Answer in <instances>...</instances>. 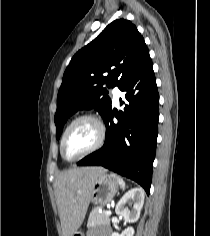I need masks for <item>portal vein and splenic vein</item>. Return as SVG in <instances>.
Segmentation results:
<instances>
[{
  "instance_id": "obj_1",
  "label": "portal vein and splenic vein",
  "mask_w": 210,
  "mask_h": 236,
  "mask_svg": "<svg viewBox=\"0 0 210 236\" xmlns=\"http://www.w3.org/2000/svg\"><path fill=\"white\" fill-rule=\"evenodd\" d=\"M111 213H112V212H111L110 210H106V211H105V214H106V215H111Z\"/></svg>"
}]
</instances>
